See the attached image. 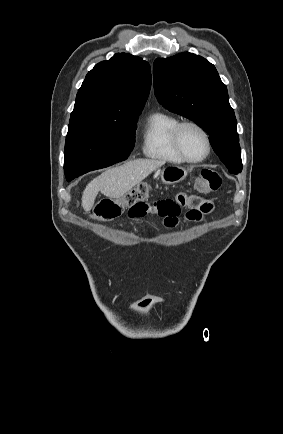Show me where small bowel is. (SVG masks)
<instances>
[{
	"label": "small bowel",
	"mask_w": 283,
	"mask_h": 434,
	"mask_svg": "<svg viewBox=\"0 0 283 434\" xmlns=\"http://www.w3.org/2000/svg\"><path fill=\"white\" fill-rule=\"evenodd\" d=\"M181 208L188 209V220L198 221L213 210V204L208 199L181 192L173 199H159L153 203L141 201L128 209V216L131 219H140L149 214L159 215L167 227L174 228L179 222Z\"/></svg>",
	"instance_id": "obj_1"
}]
</instances>
